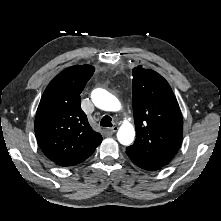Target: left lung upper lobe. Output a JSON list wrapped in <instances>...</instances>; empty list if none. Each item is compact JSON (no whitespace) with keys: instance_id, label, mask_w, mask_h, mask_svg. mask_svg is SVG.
Masks as SVG:
<instances>
[{"instance_id":"left-lung-upper-lobe-1","label":"left lung upper lobe","mask_w":221,"mask_h":221,"mask_svg":"<svg viewBox=\"0 0 221 221\" xmlns=\"http://www.w3.org/2000/svg\"><path fill=\"white\" fill-rule=\"evenodd\" d=\"M136 140L127 153L165 166L177 153L183 132L178 102L157 72L138 66L132 71Z\"/></svg>"}]
</instances>
